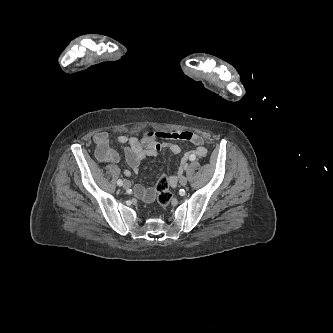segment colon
<instances>
[{"instance_id":"5ec220e1","label":"colon","mask_w":333,"mask_h":333,"mask_svg":"<svg viewBox=\"0 0 333 333\" xmlns=\"http://www.w3.org/2000/svg\"><path fill=\"white\" fill-rule=\"evenodd\" d=\"M155 191L157 194V202L161 207L170 205L173 194L169 190V180L165 174H162L156 181Z\"/></svg>"}]
</instances>
